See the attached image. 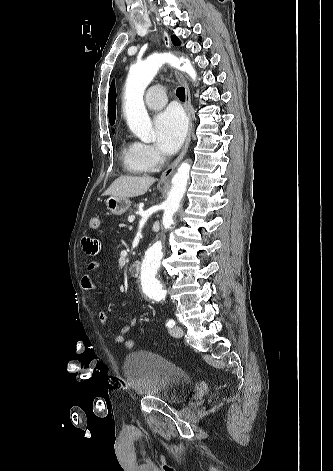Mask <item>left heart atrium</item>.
Returning <instances> with one entry per match:
<instances>
[{
  "mask_svg": "<svg viewBox=\"0 0 333 471\" xmlns=\"http://www.w3.org/2000/svg\"><path fill=\"white\" fill-rule=\"evenodd\" d=\"M154 127L157 147L163 153L173 154L185 138L187 120L179 109L168 108L157 115Z\"/></svg>",
  "mask_w": 333,
  "mask_h": 471,
  "instance_id": "39dd6f15",
  "label": "left heart atrium"
}]
</instances>
